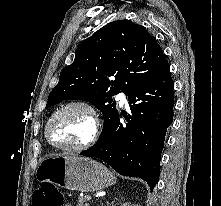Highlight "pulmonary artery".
<instances>
[{"mask_svg": "<svg viewBox=\"0 0 221 206\" xmlns=\"http://www.w3.org/2000/svg\"><path fill=\"white\" fill-rule=\"evenodd\" d=\"M117 99L119 100L120 104H125L126 103V96L123 92H120L117 95Z\"/></svg>", "mask_w": 221, "mask_h": 206, "instance_id": "1", "label": "pulmonary artery"}]
</instances>
